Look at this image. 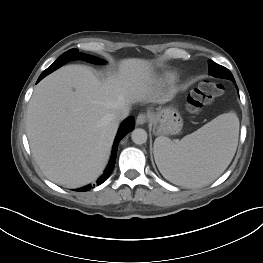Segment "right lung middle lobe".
I'll return each instance as SVG.
<instances>
[{
    "label": "right lung middle lobe",
    "instance_id": "1",
    "mask_svg": "<svg viewBox=\"0 0 263 263\" xmlns=\"http://www.w3.org/2000/svg\"><path fill=\"white\" fill-rule=\"evenodd\" d=\"M76 58H81V59H83L87 62L93 63V64H99V63L104 62V61H102L96 57L86 55V54H80V53H78V49L68 50L66 53H64L62 56H60L56 61H64V63H65L70 59H76Z\"/></svg>",
    "mask_w": 263,
    "mask_h": 263
}]
</instances>
